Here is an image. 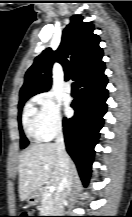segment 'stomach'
Wrapping results in <instances>:
<instances>
[{
	"label": "stomach",
	"mask_w": 132,
	"mask_h": 217,
	"mask_svg": "<svg viewBox=\"0 0 132 217\" xmlns=\"http://www.w3.org/2000/svg\"><path fill=\"white\" fill-rule=\"evenodd\" d=\"M42 200V192L41 190H37L33 193H31L27 197V202L30 206L37 205Z\"/></svg>",
	"instance_id": "stomach-1"
}]
</instances>
